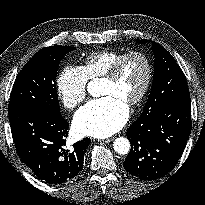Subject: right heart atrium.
<instances>
[{"label": "right heart atrium", "mask_w": 205, "mask_h": 205, "mask_svg": "<svg viewBox=\"0 0 205 205\" xmlns=\"http://www.w3.org/2000/svg\"><path fill=\"white\" fill-rule=\"evenodd\" d=\"M87 78L81 69L68 65L58 74L56 79V94L67 109H74L86 98Z\"/></svg>", "instance_id": "1"}]
</instances>
